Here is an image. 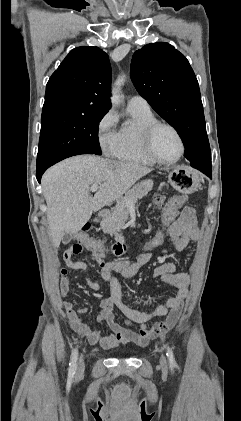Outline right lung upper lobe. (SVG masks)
<instances>
[{
    "label": "right lung upper lobe",
    "instance_id": "1",
    "mask_svg": "<svg viewBox=\"0 0 241 421\" xmlns=\"http://www.w3.org/2000/svg\"><path fill=\"white\" fill-rule=\"evenodd\" d=\"M111 65L98 47H77L50 77L42 112L106 114L111 108Z\"/></svg>",
    "mask_w": 241,
    "mask_h": 421
}]
</instances>
